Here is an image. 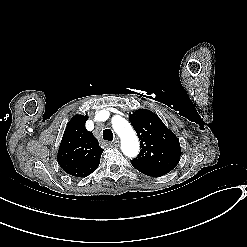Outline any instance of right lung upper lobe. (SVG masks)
Listing matches in <instances>:
<instances>
[{"instance_id":"1","label":"right lung upper lobe","mask_w":247,"mask_h":247,"mask_svg":"<svg viewBox=\"0 0 247 247\" xmlns=\"http://www.w3.org/2000/svg\"><path fill=\"white\" fill-rule=\"evenodd\" d=\"M87 115H75L68 123L58 150L60 167L76 177L90 175L100 163L104 151L85 128Z\"/></svg>"}]
</instances>
